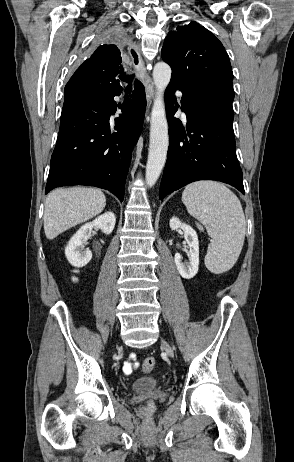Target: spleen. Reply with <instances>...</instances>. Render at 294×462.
Here are the masks:
<instances>
[{
  "mask_svg": "<svg viewBox=\"0 0 294 462\" xmlns=\"http://www.w3.org/2000/svg\"><path fill=\"white\" fill-rule=\"evenodd\" d=\"M182 201L212 238L205 256L206 267L214 274L231 269L242 250L246 231L238 197L221 183L198 181L185 187Z\"/></svg>",
  "mask_w": 294,
  "mask_h": 462,
  "instance_id": "1",
  "label": "spleen"
}]
</instances>
